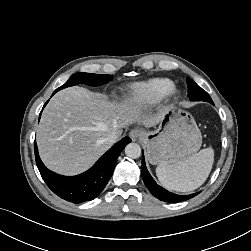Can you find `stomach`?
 Segmentation results:
<instances>
[{"label":"stomach","mask_w":251,"mask_h":251,"mask_svg":"<svg viewBox=\"0 0 251 251\" xmlns=\"http://www.w3.org/2000/svg\"><path fill=\"white\" fill-rule=\"evenodd\" d=\"M143 142L150 163L176 164L197 153L202 144V135L187 112L170 106L157 129L144 131Z\"/></svg>","instance_id":"1"}]
</instances>
